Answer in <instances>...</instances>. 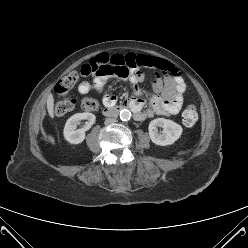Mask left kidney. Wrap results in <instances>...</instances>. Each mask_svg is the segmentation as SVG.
Returning a JSON list of instances; mask_svg holds the SVG:
<instances>
[{
  "label": "left kidney",
  "instance_id": "left-kidney-1",
  "mask_svg": "<svg viewBox=\"0 0 248 248\" xmlns=\"http://www.w3.org/2000/svg\"><path fill=\"white\" fill-rule=\"evenodd\" d=\"M158 127H162V133L158 132ZM149 137L151 141L160 146H166L173 144L178 140L182 134V127L176 122L164 119L157 118L150 122L149 124Z\"/></svg>",
  "mask_w": 248,
  "mask_h": 248
}]
</instances>
